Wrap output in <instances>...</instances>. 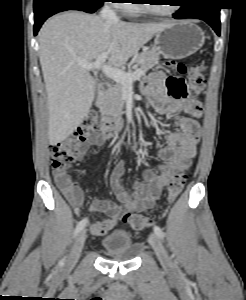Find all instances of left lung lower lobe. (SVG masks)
<instances>
[{"mask_svg": "<svg viewBox=\"0 0 246 300\" xmlns=\"http://www.w3.org/2000/svg\"><path fill=\"white\" fill-rule=\"evenodd\" d=\"M220 7L216 0H189L173 14L176 19L197 18L207 22L220 35Z\"/></svg>", "mask_w": 246, "mask_h": 300, "instance_id": "1", "label": "left lung lower lobe"}]
</instances>
